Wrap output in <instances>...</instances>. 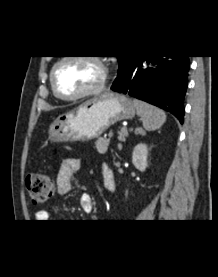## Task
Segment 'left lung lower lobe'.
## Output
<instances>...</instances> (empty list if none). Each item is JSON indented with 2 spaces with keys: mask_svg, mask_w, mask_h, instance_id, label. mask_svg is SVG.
<instances>
[{
  "mask_svg": "<svg viewBox=\"0 0 218 277\" xmlns=\"http://www.w3.org/2000/svg\"><path fill=\"white\" fill-rule=\"evenodd\" d=\"M147 66H143V62ZM189 56H132L111 90L129 94L171 112L181 123L188 85Z\"/></svg>",
  "mask_w": 218,
  "mask_h": 277,
  "instance_id": "left-lung-lower-lobe-1",
  "label": "left lung lower lobe"
}]
</instances>
